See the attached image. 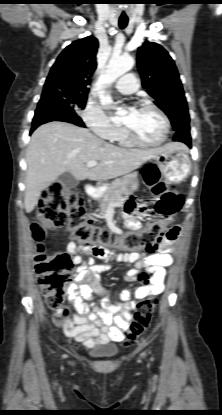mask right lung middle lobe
Masks as SVG:
<instances>
[{
	"label": "right lung middle lobe",
	"instance_id": "right-lung-middle-lobe-1",
	"mask_svg": "<svg viewBox=\"0 0 222 415\" xmlns=\"http://www.w3.org/2000/svg\"><path fill=\"white\" fill-rule=\"evenodd\" d=\"M58 95L65 100L72 108L84 109L87 101V94H79L70 90L57 91ZM45 96L42 97L39 102L43 101ZM39 104V103H38Z\"/></svg>",
	"mask_w": 222,
	"mask_h": 415
}]
</instances>
